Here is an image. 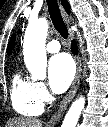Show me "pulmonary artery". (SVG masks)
<instances>
[{"instance_id":"obj_1","label":"pulmonary artery","mask_w":108,"mask_h":127,"mask_svg":"<svg viewBox=\"0 0 108 127\" xmlns=\"http://www.w3.org/2000/svg\"><path fill=\"white\" fill-rule=\"evenodd\" d=\"M60 43L57 40L49 41L46 44V51L49 53H56L60 50Z\"/></svg>"}]
</instances>
